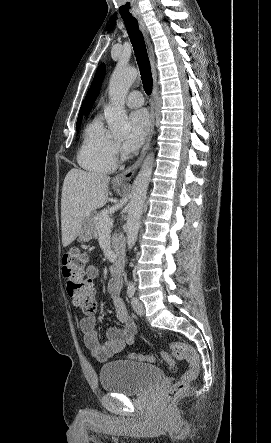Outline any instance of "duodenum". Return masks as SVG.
Masks as SVG:
<instances>
[{
  "label": "duodenum",
  "mask_w": 271,
  "mask_h": 443,
  "mask_svg": "<svg viewBox=\"0 0 271 443\" xmlns=\"http://www.w3.org/2000/svg\"><path fill=\"white\" fill-rule=\"evenodd\" d=\"M122 269H123V259L120 257L112 262L110 267V272L113 276L119 277L122 273Z\"/></svg>",
  "instance_id": "410a0bca"
}]
</instances>
